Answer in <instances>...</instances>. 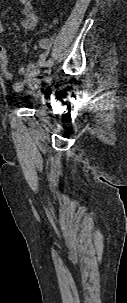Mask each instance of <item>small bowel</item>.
Listing matches in <instances>:
<instances>
[{"instance_id":"c3829d8e","label":"small bowel","mask_w":127,"mask_h":303,"mask_svg":"<svg viewBox=\"0 0 127 303\" xmlns=\"http://www.w3.org/2000/svg\"><path fill=\"white\" fill-rule=\"evenodd\" d=\"M24 18L21 22V27L24 30H32L38 25V18L34 12L32 6V0H18ZM5 28L3 23L0 20V37L3 36ZM39 46L42 50L41 54L27 66L19 67L18 73L21 76L19 80L15 81L13 84V89L15 91H21L28 86H33L37 82V76L39 74L40 68L46 64L51 42L48 38H41L39 41ZM22 51L27 52V46H22ZM0 71L5 80L11 81L14 78L12 71L8 66V56L6 49L3 45L0 44Z\"/></svg>"}]
</instances>
